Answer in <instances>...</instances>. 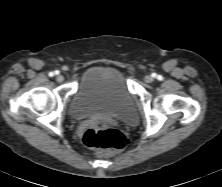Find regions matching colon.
<instances>
[{
	"mask_svg": "<svg viewBox=\"0 0 222 187\" xmlns=\"http://www.w3.org/2000/svg\"><path fill=\"white\" fill-rule=\"evenodd\" d=\"M83 143L99 154H107L123 150L127 146V138L107 122L98 121L85 130Z\"/></svg>",
	"mask_w": 222,
	"mask_h": 187,
	"instance_id": "5ec220e1",
	"label": "colon"
}]
</instances>
